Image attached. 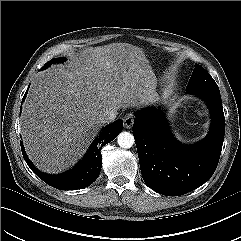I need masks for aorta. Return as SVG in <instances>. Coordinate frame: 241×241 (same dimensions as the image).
I'll return each mask as SVG.
<instances>
[{
    "mask_svg": "<svg viewBox=\"0 0 241 241\" xmlns=\"http://www.w3.org/2000/svg\"><path fill=\"white\" fill-rule=\"evenodd\" d=\"M118 145L121 148H131L135 142L133 135L130 132H121L117 137Z\"/></svg>",
    "mask_w": 241,
    "mask_h": 241,
    "instance_id": "762f6f07",
    "label": "aorta"
}]
</instances>
